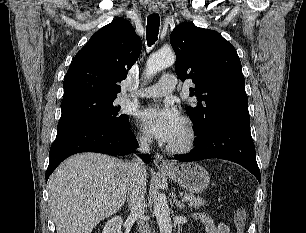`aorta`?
<instances>
[{
    "label": "aorta",
    "mask_w": 306,
    "mask_h": 233,
    "mask_svg": "<svg viewBox=\"0 0 306 233\" xmlns=\"http://www.w3.org/2000/svg\"><path fill=\"white\" fill-rule=\"evenodd\" d=\"M174 63L175 55L171 50H160L149 57L144 75L146 78H149L159 71L172 66ZM154 213L160 233H172L169 206L167 198L163 193H157L154 197Z\"/></svg>",
    "instance_id": "1"
}]
</instances>
